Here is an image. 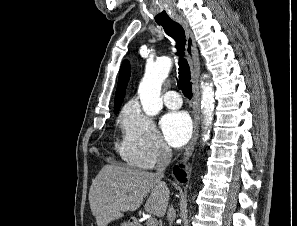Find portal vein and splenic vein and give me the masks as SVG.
<instances>
[{
  "label": "portal vein and splenic vein",
  "instance_id": "portal-vein-and-splenic-vein-1",
  "mask_svg": "<svg viewBox=\"0 0 297 226\" xmlns=\"http://www.w3.org/2000/svg\"><path fill=\"white\" fill-rule=\"evenodd\" d=\"M147 226H156L157 225V220L155 218H150L146 222Z\"/></svg>",
  "mask_w": 297,
  "mask_h": 226
}]
</instances>
